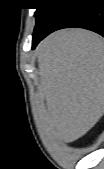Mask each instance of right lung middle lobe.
I'll list each match as a JSON object with an SVG mask.
<instances>
[{
	"label": "right lung middle lobe",
	"instance_id": "dd1d6c3e",
	"mask_svg": "<svg viewBox=\"0 0 104 169\" xmlns=\"http://www.w3.org/2000/svg\"><path fill=\"white\" fill-rule=\"evenodd\" d=\"M36 2V26L34 31H38L44 26L50 16L58 9L61 0H37Z\"/></svg>",
	"mask_w": 104,
	"mask_h": 169
}]
</instances>
